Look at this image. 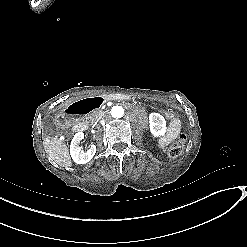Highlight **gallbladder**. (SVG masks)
Returning <instances> with one entry per match:
<instances>
[{
	"label": "gallbladder",
	"instance_id": "gallbladder-1",
	"mask_svg": "<svg viewBox=\"0 0 247 247\" xmlns=\"http://www.w3.org/2000/svg\"><path fill=\"white\" fill-rule=\"evenodd\" d=\"M42 127L49 135H59L60 133L68 135V132H66L65 130H61L62 125L59 126L57 118H52L51 116H46L44 118Z\"/></svg>",
	"mask_w": 247,
	"mask_h": 247
}]
</instances>
